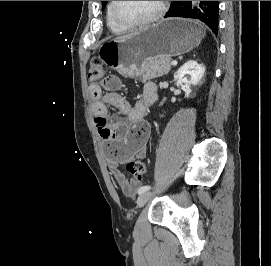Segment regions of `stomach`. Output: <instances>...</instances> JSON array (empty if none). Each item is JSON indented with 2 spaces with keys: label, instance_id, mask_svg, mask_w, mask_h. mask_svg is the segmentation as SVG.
<instances>
[{
  "label": "stomach",
  "instance_id": "stomach-1",
  "mask_svg": "<svg viewBox=\"0 0 271 266\" xmlns=\"http://www.w3.org/2000/svg\"><path fill=\"white\" fill-rule=\"evenodd\" d=\"M204 35L203 26L194 20L165 19L143 28L130 38L104 43L99 49V57L124 76H141L146 60L187 53L201 42Z\"/></svg>",
  "mask_w": 271,
  "mask_h": 266
}]
</instances>
